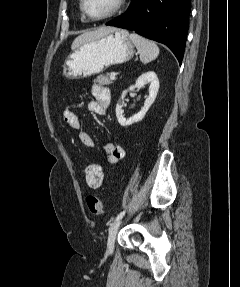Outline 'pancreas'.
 <instances>
[{
	"label": "pancreas",
	"mask_w": 240,
	"mask_h": 287,
	"mask_svg": "<svg viewBox=\"0 0 240 287\" xmlns=\"http://www.w3.org/2000/svg\"><path fill=\"white\" fill-rule=\"evenodd\" d=\"M110 74H106V75H101L99 77H97V82L102 84V85H110L113 83V80L109 78Z\"/></svg>",
	"instance_id": "pancreas-1"
}]
</instances>
